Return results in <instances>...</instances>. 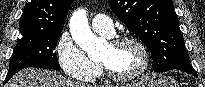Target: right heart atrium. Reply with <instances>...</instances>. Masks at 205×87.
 Segmentation results:
<instances>
[{
  "label": "right heart atrium",
  "mask_w": 205,
  "mask_h": 87,
  "mask_svg": "<svg viewBox=\"0 0 205 87\" xmlns=\"http://www.w3.org/2000/svg\"><path fill=\"white\" fill-rule=\"evenodd\" d=\"M57 61L68 77L88 80L98 76L100 67L93 62L68 32H63L56 42Z\"/></svg>",
  "instance_id": "1"
}]
</instances>
